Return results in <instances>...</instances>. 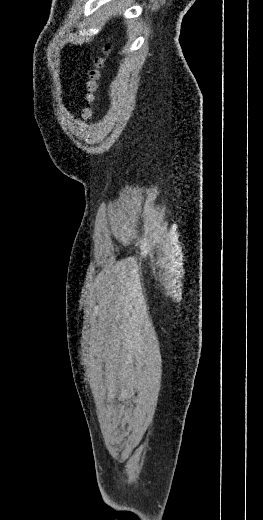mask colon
I'll list each match as a JSON object with an SVG mask.
<instances>
[{"instance_id": "obj_1", "label": "colon", "mask_w": 263, "mask_h": 520, "mask_svg": "<svg viewBox=\"0 0 263 520\" xmlns=\"http://www.w3.org/2000/svg\"><path fill=\"white\" fill-rule=\"evenodd\" d=\"M111 51V45L106 44L103 47V56L96 57L93 61V66L88 70L86 81V95L85 105L82 109V116L89 118L92 114V106L96 98L98 83L101 77V70L105 65L107 55Z\"/></svg>"}]
</instances>
